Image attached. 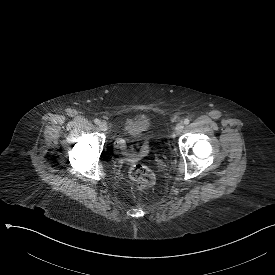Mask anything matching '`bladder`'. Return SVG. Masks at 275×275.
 <instances>
[{
  "label": "bladder",
  "mask_w": 275,
  "mask_h": 275,
  "mask_svg": "<svg viewBox=\"0 0 275 275\" xmlns=\"http://www.w3.org/2000/svg\"><path fill=\"white\" fill-rule=\"evenodd\" d=\"M150 129V121L146 117H133L124 123L122 135L126 139L136 140L149 132Z\"/></svg>",
  "instance_id": "31cf9c89"
}]
</instances>
